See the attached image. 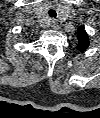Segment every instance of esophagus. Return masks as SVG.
<instances>
[{
	"instance_id": "obj_1",
	"label": "esophagus",
	"mask_w": 100,
	"mask_h": 118,
	"mask_svg": "<svg viewBox=\"0 0 100 118\" xmlns=\"http://www.w3.org/2000/svg\"><path fill=\"white\" fill-rule=\"evenodd\" d=\"M50 27L54 30H57L59 28V25L56 21H51Z\"/></svg>"
}]
</instances>
